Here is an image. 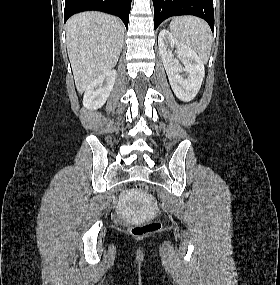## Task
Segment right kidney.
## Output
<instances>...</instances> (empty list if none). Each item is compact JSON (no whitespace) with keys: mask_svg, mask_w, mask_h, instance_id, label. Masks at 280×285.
<instances>
[{"mask_svg":"<svg viewBox=\"0 0 280 285\" xmlns=\"http://www.w3.org/2000/svg\"><path fill=\"white\" fill-rule=\"evenodd\" d=\"M116 76V70L111 69L95 79L84 93V107L89 110L101 108L113 89Z\"/></svg>","mask_w":280,"mask_h":285,"instance_id":"1","label":"right kidney"}]
</instances>
